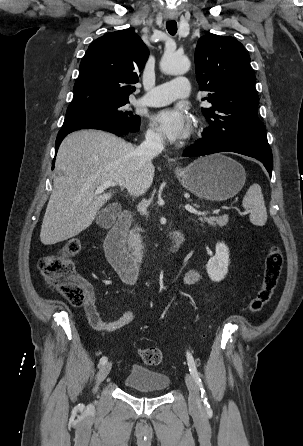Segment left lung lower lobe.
I'll return each instance as SVG.
<instances>
[{"label":"left lung lower lobe","mask_w":303,"mask_h":446,"mask_svg":"<svg viewBox=\"0 0 303 446\" xmlns=\"http://www.w3.org/2000/svg\"><path fill=\"white\" fill-rule=\"evenodd\" d=\"M235 152L261 161L267 169L269 175L272 173L273 158L269 146L258 144L233 142V141H211L201 140L184 150L183 156L196 157L218 152Z\"/></svg>","instance_id":"1"}]
</instances>
